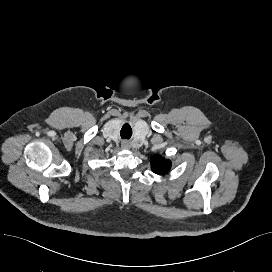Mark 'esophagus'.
Wrapping results in <instances>:
<instances>
[{
	"label": "esophagus",
	"mask_w": 272,
	"mask_h": 272,
	"mask_svg": "<svg viewBox=\"0 0 272 272\" xmlns=\"http://www.w3.org/2000/svg\"><path fill=\"white\" fill-rule=\"evenodd\" d=\"M121 146L123 149H129L130 148V142L128 140H123L121 143Z\"/></svg>",
	"instance_id": "34e87169"
}]
</instances>
